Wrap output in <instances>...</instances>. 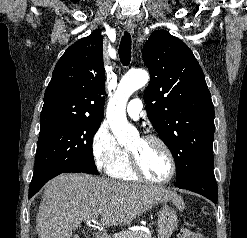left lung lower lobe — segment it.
Segmentation results:
<instances>
[{
  "label": "left lung lower lobe",
  "instance_id": "left-lung-lower-lobe-1",
  "mask_svg": "<svg viewBox=\"0 0 247 238\" xmlns=\"http://www.w3.org/2000/svg\"><path fill=\"white\" fill-rule=\"evenodd\" d=\"M181 189H187L201 194L214 203H217V183L213 169L199 171L191 176L186 182L178 185Z\"/></svg>",
  "mask_w": 247,
  "mask_h": 238
}]
</instances>
